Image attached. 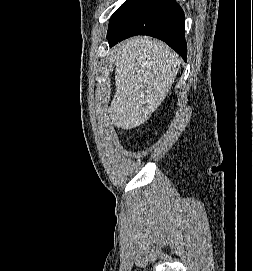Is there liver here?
Here are the masks:
<instances>
[{
	"instance_id": "obj_1",
	"label": "liver",
	"mask_w": 253,
	"mask_h": 271,
	"mask_svg": "<svg viewBox=\"0 0 253 271\" xmlns=\"http://www.w3.org/2000/svg\"><path fill=\"white\" fill-rule=\"evenodd\" d=\"M114 53L116 92L109 118L119 128L133 129L144 124L164 101L180 60L162 41L141 36L120 43Z\"/></svg>"
}]
</instances>
